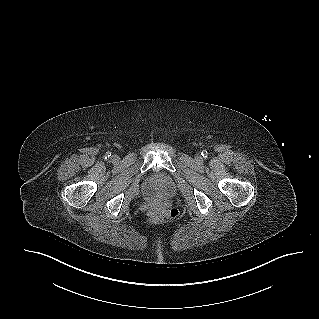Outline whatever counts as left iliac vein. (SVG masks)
<instances>
[{"label":"left iliac vein","instance_id":"left-iliac-vein-1","mask_svg":"<svg viewBox=\"0 0 319 319\" xmlns=\"http://www.w3.org/2000/svg\"><path fill=\"white\" fill-rule=\"evenodd\" d=\"M195 160H196V161H201V160H202L201 155H199V154H198V155H196Z\"/></svg>","mask_w":319,"mask_h":319}]
</instances>
